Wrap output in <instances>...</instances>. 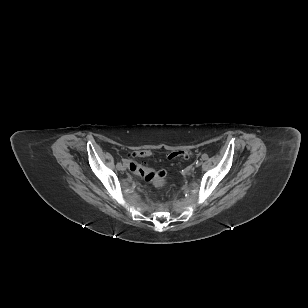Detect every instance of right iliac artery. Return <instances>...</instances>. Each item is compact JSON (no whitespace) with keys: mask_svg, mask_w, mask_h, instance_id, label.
Returning <instances> with one entry per match:
<instances>
[{"mask_svg":"<svg viewBox=\"0 0 308 308\" xmlns=\"http://www.w3.org/2000/svg\"><path fill=\"white\" fill-rule=\"evenodd\" d=\"M121 163H117V165L116 166H118V165H120Z\"/></svg>","mask_w":308,"mask_h":308,"instance_id":"right-iliac-artery-1","label":"right iliac artery"}]
</instances>
